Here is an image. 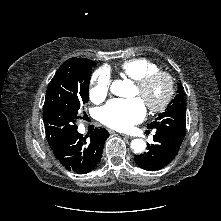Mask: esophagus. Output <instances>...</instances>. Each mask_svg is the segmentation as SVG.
Segmentation results:
<instances>
[{"instance_id": "1", "label": "esophagus", "mask_w": 221, "mask_h": 221, "mask_svg": "<svg viewBox=\"0 0 221 221\" xmlns=\"http://www.w3.org/2000/svg\"><path fill=\"white\" fill-rule=\"evenodd\" d=\"M122 136H123L124 138H127V139H132V138H133L132 136L125 135V134H123Z\"/></svg>"}]
</instances>
